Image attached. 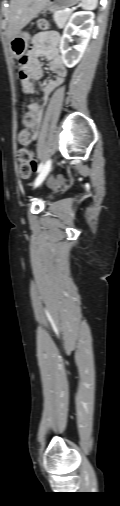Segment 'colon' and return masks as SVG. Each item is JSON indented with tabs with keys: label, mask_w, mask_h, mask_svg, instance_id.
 Instances as JSON below:
<instances>
[{
	"label": "colon",
	"mask_w": 120,
	"mask_h": 506,
	"mask_svg": "<svg viewBox=\"0 0 120 506\" xmlns=\"http://www.w3.org/2000/svg\"><path fill=\"white\" fill-rule=\"evenodd\" d=\"M40 28L45 29L47 24L44 21H41L39 24ZM27 71V59L24 57L19 62V72L20 77L24 78L25 73ZM34 115L32 112H26L23 114L22 121L25 125V128L22 129L19 133L18 140L19 143L23 146L19 149L17 153V158L19 161L18 173L22 178H28L32 171L36 168V159L33 154L26 148L27 145L31 143L33 140V133L31 127L34 123ZM63 181V178H59L57 180L51 181V185L56 186Z\"/></svg>",
	"instance_id": "1"
}]
</instances>
